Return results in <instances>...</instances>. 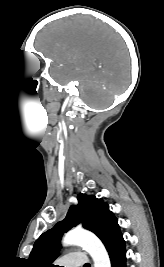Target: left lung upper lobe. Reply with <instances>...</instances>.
Wrapping results in <instances>:
<instances>
[{
	"label": "left lung upper lobe",
	"mask_w": 164,
	"mask_h": 267,
	"mask_svg": "<svg viewBox=\"0 0 164 267\" xmlns=\"http://www.w3.org/2000/svg\"><path fill=\"white\" fill-rule=\"evenodd\" d=\"M77 199L78 205L70 207L65 219L36 240L28 259L30 267H54L52 262L59 254L63 233L79 223L95 233L103 243L119 227L115 215L102 199L85 194H79Z\"/></svg>",
	"instance_id": "5c2ea615"
}]
</instances>
